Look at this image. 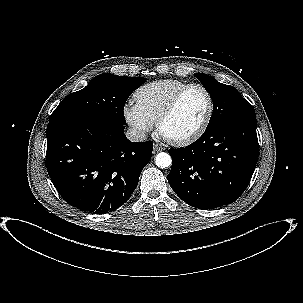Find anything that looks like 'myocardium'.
Wrapping results in <instances>:
<instances>
[{
    "label": "myocardium",
    "mask_w": 303,
    "mask_h": 303,
    "mask_svg": "<svg viewBox=\"0 0 303 303\" xmlns=\"http://www.w3.org/2000/svg\"><path fill=\"white\" fill-rule=\"evenodd\" d=\"M197 88L201 90L206 98H207V103H208V108L207 112L199 125V127L192 132L191 134L180 137V138H172L164 134L163 132V125L167 121V119L174 113L176 110L177 106L179 105L181 99L183 96L191 89ZM214 112V103H213V98L210 94V92L201 84L193 83V84H188L185 87H183L181 90H179L175 96L170 100V102L167 104V106L164 108V110L161 112L159 115L156 125L159 133L170 143L177 145V146H185L188 144H191L198 140L207 130L210 121L212 119Z\"/></svg>",
    "instance_id": "obj_1"
}]
</instances>
